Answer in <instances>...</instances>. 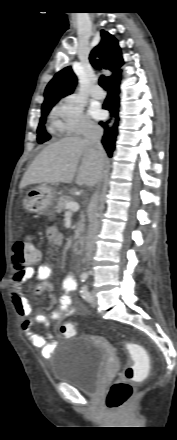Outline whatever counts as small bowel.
<instances>
[{
  "mask_svg": "<svg viewBox=\"0 0 177 440\" xmlns=\"http://www.w3.org/2000/svg\"><path fill=\"white\" fill-rule=\"evenodd\" d=\"M46 236L48 242L54 246H60L64 241L63 235L54 226L47 229ZM52 273V268L41 263L40 258L33 266L17 272L10 283L14 307L22 318L21 328L31 344L42 350L44 357L50 356L55 347V343L52 341L53 335L48 333L45 336L33 331V327L39 323H44L47 326V317L43 314H33L32 306L25 294V283L32 278L36 279L38 284L35 287V294L37 295L44 292H53L54 286L49 281ZM62 289L63 294L59 298L58 309L50 314V320L56 324L67 315L86 312L85 307L77 303L72 297V293L77 289V282L72 274L64 278Z\"/></svg>",
  "mask_w": 177,
  "mask_h": 440,
  "instance_id": "obj_1",
  "label": "small bowel"
}]
</instances>
